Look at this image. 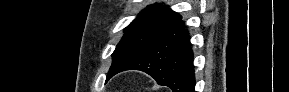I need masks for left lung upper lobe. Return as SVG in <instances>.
Listing matches in <instances>:
<instances>
[{
    "instance_id": "obj_1",
    "label": "left lung upper lobe",
    "mask_w": 289,
    "mask_h": 92,
    "mask_svg": "<svg viewBox=\"0 0 289 92\" xmlns=\"http://www.w3.org/2000/svg\"><path fill=\"white\" fill-rule=\"evenodd\" d=\"M181 16L166 5L147 6L124 30V36L112 54L107 78L131 62L165 30L181 20Z\"/></svg>"
}]
</instances>
